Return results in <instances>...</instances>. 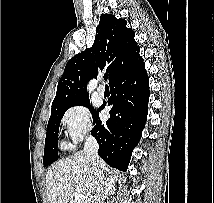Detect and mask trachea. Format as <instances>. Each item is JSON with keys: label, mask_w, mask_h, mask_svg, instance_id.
<instances>
[{"label": "trachea", "mask_w": 214, "mask_h": 203, "mask_svg": "<svg viewBox=\"0 0 214 203\" xmlns=\"http://www.w3.org/2000/svg\"><path fill=\"white\" fill-rule=\"evenodd\" d=\"M107 79H108V75L104 74V80H107Z\"/></svg>", "instance_id": "3493384b"}]
</instances>
